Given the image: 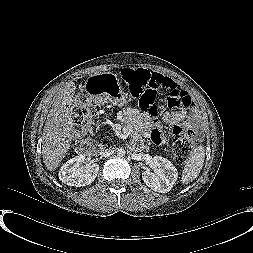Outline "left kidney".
<instances>
[{
  "label": "left kidney",
  "mask_w": 253,
  "mask_h": 253,
  "mask_svg": "<svg viewBox=\"0 0 253 253\" xmlns=\"http://www.w3.org/2000/svg\"><path fill=\"white\" fill-rule=\"evenodd\" d=\"M150 169L142 173L144 183L152 190L159 193H167L172 189L178 178V172L175 166L166 158L154 156Z\"/></svg>",
  "instance_id": "1"
}]
</instances>
